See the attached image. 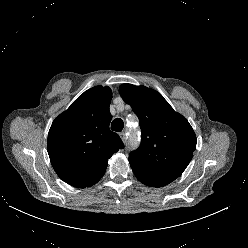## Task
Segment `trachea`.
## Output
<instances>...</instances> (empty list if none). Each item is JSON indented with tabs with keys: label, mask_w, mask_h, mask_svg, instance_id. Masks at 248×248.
<instances>
[{
	"label": "trachea",
	"mask_w": 248,
	"mask_h": 248,
	"mask_svg": "<svg viewBox=\"0 0 248 248\" xmlns=\"http://www.w3.org/2000/svg\"><path fill=\"white\" fill-rule=\"evenodd\" d=\"M124 127V122L121 118H116L111 123V130L115 132H121Z\"/></svg>",
	"instance_id": "trachea-1"
}]
</instances>
